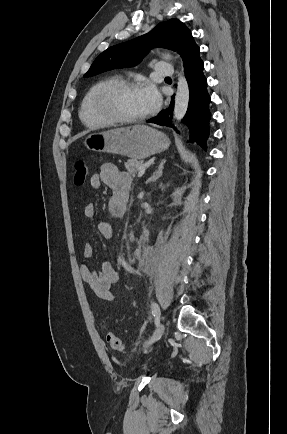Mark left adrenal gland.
<instances>
[{
  "label": "left adrenal gland",
  "mask_w": 287,
  "mask_h": 434,
  "mask_svg": "<svg viewBox=\"0 0 287 434\" xmlns=\"http://www.w3.org/2000/svg\"><path fill=\"white\" fill-rule=\"evenodd\" d=\"M165 162H166V159L161 160V162L158 166V169L153 173V175L150 178L147 179V181H146L147 184L150 182H155L159 177L162 176L163 167H164Z\"/></svg>",
  "instance_id": "1"
}]
</instances>
